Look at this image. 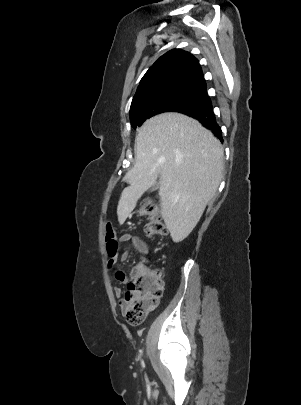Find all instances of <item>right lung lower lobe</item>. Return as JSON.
Segmentation results:
<instances>
[{
	"mask_svg": "<svg viewBox=\"0 0 301 405\" xmlns=\"http://www.w3.org/2000/svg\"><path fill=\"white\" fill-rule=\"evenodd\" d=\"M179 112L197 119L204 127L211 130L221 140V142H223L222 131L216 122L212 105L199 108L184 109L183 111Z\"/></svg>",
	"mask_w": 301,
	"mask_h": 405,
	"instance_id": "98d812e1",
	"label": "right lung lower lobe"
}]
</instances>
